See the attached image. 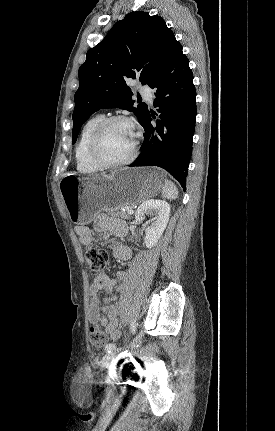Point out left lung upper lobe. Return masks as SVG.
I'll return each mask as SVG.
<instances>
[{"mask_svg": "<svg viewBox=\"0 0 275 431\" xmlns=\"http://www.w3.org/2000/svg\"><path fill=\"white\" fill-rule=\"evenodd\" d=\"M178 45L174 33L159 16L137 11L118 21L98 45L88 50L86 61L79 68L72 143L76 142L82 124L101 108L131 111L141 124L147 105L135 104L126 80L139 78L142 85L151 87Z\"/></svg>", "mask_w": 275, "mask_h": 431, "instance_id": "obj_1", "label": "left lung upper lobe"}]
</instances>
